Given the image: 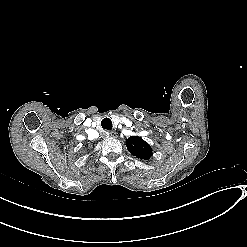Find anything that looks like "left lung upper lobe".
I'll list each match as a JSON object with an SVG mask.
<instances>
[{
	"mask_svg": "<svg viewBox=\"0 0 247 247\" xmlns=\"http://www.w3.org/2000/svg\"><path fill=\"white\" fill-rule=\"evenodd\" d=\"M128 151L137 158L147 160L152 156V148L141 137L132 136L126 140Z\"/></svg>",
	"mask_w": 247,
	"mask_h": 247,
	"instance_id": "left-lung-upper-lobe-1",
	"label": "left lung upper lobe"
}]
</instances>
